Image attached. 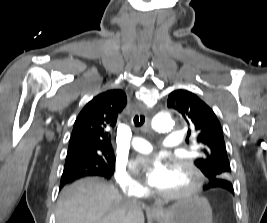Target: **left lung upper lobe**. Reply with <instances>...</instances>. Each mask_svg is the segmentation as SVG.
<instances>
[{
    "mask_svg": "<svg viewBox=\"0 0 267 223\" xmlns=\"http://www.w3.org/2000/svg\"><path fill=\"white\" fill-rule=\"evenodd\" d=\"M169 108L177 110L196 133L199 156L194 164L212 181H229L231 168L219 120L213 110L195 94L186 90L173 91L167 101Z\"/></svg>",
    "mask_w": 267,
    "mask_h": 223,
    "instance_id": "obj_1",
    "label": "left lung upper lobe"
}]
</instances>
